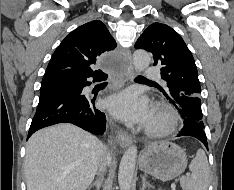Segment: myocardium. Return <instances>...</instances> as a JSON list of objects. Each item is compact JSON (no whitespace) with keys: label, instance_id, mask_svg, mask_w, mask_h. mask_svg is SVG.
<instances>
[{"label":"myocardium","instance_id":"f54148a6","mask_svg":"<svg viewBox=\"0 0 234 190\" xmlns=\"http://www.w3.org/2000/svg\"><path fill=\"white\" fill-rule=\"evenodd\" d=\"M157 122L148 124L145 129L147 135L159 137L174 132L178 127V117L174 110L167 105L159 104L154 108L153 116Z\"/></svg>","mask_w":234,"mask_h":190}]
</instances>
